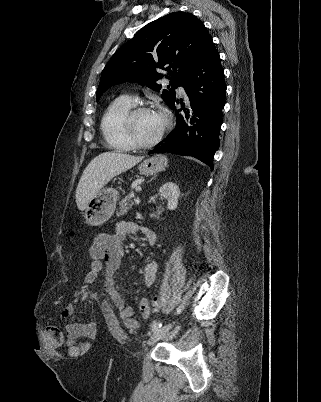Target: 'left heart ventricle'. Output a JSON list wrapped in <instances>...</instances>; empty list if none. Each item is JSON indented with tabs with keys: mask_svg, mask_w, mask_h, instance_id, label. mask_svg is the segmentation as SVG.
<instances>
[{
	"mask_svg": "<svg viewBox=\"0 0 321 402\" xmlns=\"http://www.w3.org/2000/svg\"><path fill=\"white\" fill-rule=\"evenodd\" d=\"M164 124L163 116L156 111L141 112L134 118V131L142 142L152 140Z\"/></svg>",
	"mask_w": 321,
	"mask_h": 402,
	"instance_id": "b2bd125f",
	"label": "left heart ventricle"
}]
</instances>
